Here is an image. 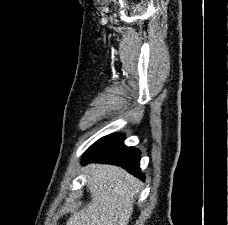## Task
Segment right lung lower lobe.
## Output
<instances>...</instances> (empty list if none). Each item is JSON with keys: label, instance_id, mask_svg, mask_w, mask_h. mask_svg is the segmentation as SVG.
I'll use <instances>...</instances> for the list:
<instances>
[{"label": "right lung lower lobe", "instance_id": "right-lung-lower-lobe-1", "mask_svg": "<svg viewBox=\"0 0 228 225\" xmlns=\"http://www.w3.org/2000/svg\"><path fill=\"white\" fill-rule=\"evenodd\" d=\"M124 136L111 134L99 139L88 148L82 157V164L100 162L121 166L128 172L144 181V175L140 172V152L123 144Z\"/></svg>", "mask_w": 228, "mask_h": 225}]
</instances>
